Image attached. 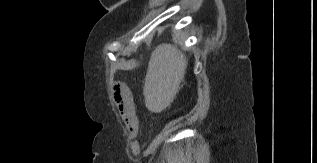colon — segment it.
<instances>
[{
  "label": "colon",
  "instance_id": "5ec220e1",
  "mask_svg": "<svg viewBox=\"0 0 317 163\" xmlns=\"http://www.w3.org/2000/svg\"><path fill=\"white\" fill-rule=\"evenodd\" d=\"M127 87L122 84H116L114 87L115 101L121 100V102H127L129 99V92Z\"/></svg>",
  "mask_w": 317,
  "mask_h": 163
}]
</instances>
